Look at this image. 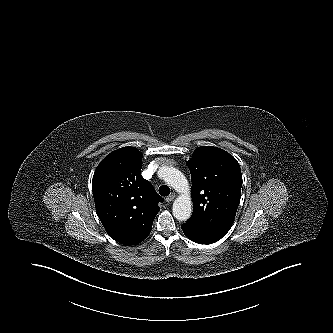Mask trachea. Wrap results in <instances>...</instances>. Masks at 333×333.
Listing matches in <instances>:
<instances>
[{
    "instance_id": "trachea-1",
    "label": "trachea",
    "mask_w": 333,
    "mask_h": 333,
    "mask_svg": "<svg viewBox=\"0 0 333 333\" xmlns=\"http://www.w3.org/2000/svg\"><path fill=\"white\" fill-rule=\"evenodd\" d=\"M159 193L162 195V196H168L170 194V188L166 185H162L160 188H159Z\"/></svg>"
}]
</instances>
